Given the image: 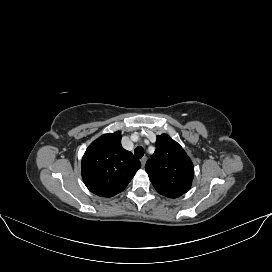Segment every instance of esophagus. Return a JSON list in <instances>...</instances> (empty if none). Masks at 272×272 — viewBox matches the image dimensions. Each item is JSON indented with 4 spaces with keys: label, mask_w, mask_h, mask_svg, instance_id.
<instances>
[{
    "label": "esophagus",
    "mask_w": 272,
    "mask_h": 272,
    "mask_svg": "<svg viewBox=\"0 0 272 272\" xmlns=\"http://www.w3.org/2000/svg\"><path fill=\"white\" fill-rule=\"evenodd\" d=\"M146 160H147V158H146V157H143V158L140 160V161H141V165H142V167H144V166H145Z\"/></svg>",
    "instance_id": "1"
}]
</instances>
